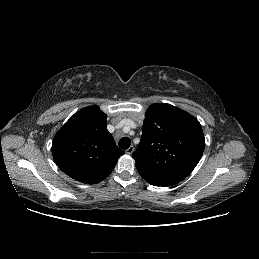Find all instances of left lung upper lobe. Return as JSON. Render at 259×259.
Returning a JSON list of instances; mask_svg holds the SVG:
<instances>
[{
  "label": "left lung upper lobe",
  "mask_w": 259,
  "mask_h": 259,
  "mask_svg": "<svg viewBox=\"0 0 259 259\" xmlns=\"http://www.w3.org/2000/svg\"><path fill=\"white\" fill-rule=\"evenodd\" d=\"M204 148L202 127L195 117L173 105L155 103L146 111L141 141L132 157L136 166L182 181Z\"/></svg>",
  "instance_id": "obj_1"
}]
</instances>
